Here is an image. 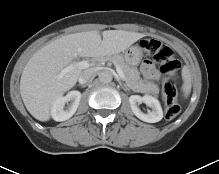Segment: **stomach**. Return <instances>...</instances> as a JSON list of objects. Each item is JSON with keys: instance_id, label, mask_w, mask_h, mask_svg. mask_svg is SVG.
Masks as SVG:
<instances>
[{"instance_id": "obj_1", "label": "stomach", "mask_w": 219, "mask_h": 174, "mask_svg": "<svg viewBox=\"0 0 219 174\" xmlns=\"http://www.w3.org/2000/svg\"><path fill=\"white\" fill-rule=\"evenodd\" d=\"M142 57L143 49L139 45L131 46L125 53V61L131 66L138 65L141 62Z\"/></svg>"}]
</instances>
